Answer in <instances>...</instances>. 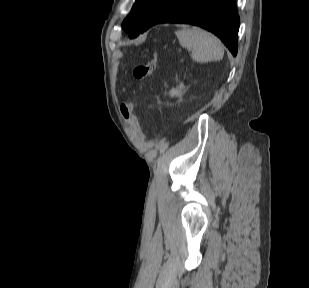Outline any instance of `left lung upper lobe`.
Returning <instances> with one entry per match:
<instances>
[{
    "instance_id": "left-lung-upper-lobe-1",
    "label": "left lung upper lobe",
    "mask_w": 309,
    "mask_h": 288,
    "mask_svg": "<svg viewBox=\"0 0 309 288\" xmlns=\"http://www.w3.org/2000/svg\"><path fill=\"white\" fill-rule=\"evenodd\" d=\"M162 0H136L130 14L122 23L123 29L129 36L137 33L155 8Z\"/></svg>"
}]
</instances>
